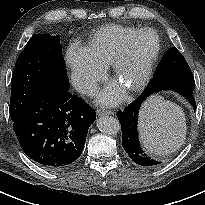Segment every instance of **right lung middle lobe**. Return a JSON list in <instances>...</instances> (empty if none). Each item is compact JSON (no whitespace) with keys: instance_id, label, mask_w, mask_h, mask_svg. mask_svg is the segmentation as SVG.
Instances as JSON below:
<instances>
[{"instance_id":"1","label":"right lung middle lobe","mask_w":205,"mask_h":205,"mask_svg":"<svg viewBox=\"0 0 205 205\" xmlns=\"http://www.w3.org/2000/svg\"><path fill=\"white\" fill-rule=\"evenodd\" d=\"M66 89L69 81L59 36L33 35L19 55L11 79L12 121L44 93Z\"/></svg>"}]
</instances>
